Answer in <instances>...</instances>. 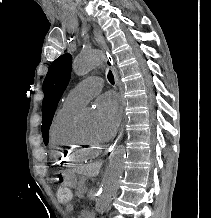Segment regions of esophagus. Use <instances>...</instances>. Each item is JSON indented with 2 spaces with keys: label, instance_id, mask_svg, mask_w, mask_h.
<instances>
[{
  "label": "esophagus",
  "instance_id": "34e87169",
  "mask_svg": "<svg viewBox=\"0 0 211 218\" xmlns=\"http://www.w3.org/2000/svg\"><path fill=\"white\" fill-rule=\"evenodd\" d=\"M93 37H94L95 41L100 45V47L105 50V52H106V65L112 71L114 79H115V84L118 87V91H119V95H120V116H121V118H120V123L117 124V130L123 131L124 130L123 123H127V118H122L123 109H124V105H125V99H124V95H123L122 86L119 82V76H118L116 68L113 64L112 57L109 53L107 43L103 40V38H102V36L97 28H93ZM121 137H122V132H115L114 136H111L110 143L111 144H118ZM115 149H116L115 145H108L106 152L104 153L103 159L104 160H111L112 159L111 153H114Z\"/></svg>",
  "mask_w": 211,
  "mask_h": 218
}]
</instances>
